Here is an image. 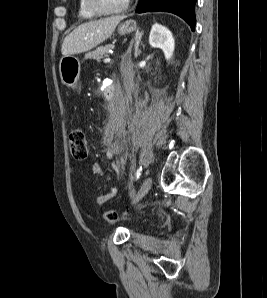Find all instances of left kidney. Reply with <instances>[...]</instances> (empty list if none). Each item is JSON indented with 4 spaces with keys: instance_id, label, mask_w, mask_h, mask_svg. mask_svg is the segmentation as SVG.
I'll return each mask as SVG.
<instances>
[{
    "instance_id": "1",
    "label": "left kidney",
    "mask_w": 267,
    "mask_h": 298,
    "mask_svg": "<svg viewBox=\"0 0 267 298\" xmlns=\"http://www.w3.org/2000/svg\"><path fill=\"white\" fill-rule=\"evenodd\" d=\"M149 44L154 48L162 49L167 61L173 57L175 40L172 32L166 27L158 23L154 24L149 35Z\"/></svg>"
}]
</instances>
